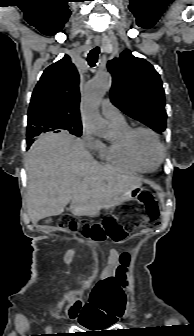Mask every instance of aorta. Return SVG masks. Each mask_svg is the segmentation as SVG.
Instances as JSON below:
<instances>
[{
    "mask_svg": "<svg viewBox=\"0 0 194 336\" xmlns=\"http://www.w3.org/2000/svg\"><path fill=\"white\" fill-rule=\"evenodd\" d=\"M111 76L103 73L90 80L85 88L82 102L81 115L83 126L98 137L109 139L112 131L105 119L99 113V103L111 87Z\"/></svg>",
    "mask_w": 194,
    "mask_h": 336,
    "instance_id": "aorta-1",
    "label": "aorta"
}]
</instances>
